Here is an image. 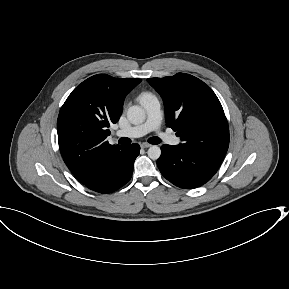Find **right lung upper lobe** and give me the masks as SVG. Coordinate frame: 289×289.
<instances>
[{
  "instance_id": "cb5924a9",
  "label": "right lung upper lobe",
  "mask_w": 289,
  "mask_h": 289,
  "mask_svg": "<svg viewBox=\"0 0 289 289\" xmlns=\"http://www.w3.org/2000/svg\"><path fill=\"white\" fill-rule=\"evenodd\" d=\"M141 79L97 74L78 85L63 104L58 143L67 167L81 182L93 179L123 146L106 141L122 113L125 96Z\"/></svg>"
}]
</instances>
